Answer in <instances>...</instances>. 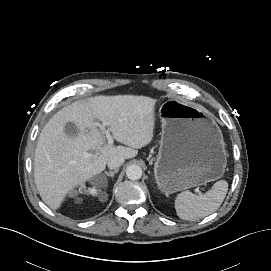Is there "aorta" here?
<instances>
[{
	"mask_svg": "<svg viewBox=\"0 0 271 271\" xmlns=\"http://www.w3.org/2000/svg\"><path fill=\"white\" fill-rule=\"evenodd\" d=\"M126 176L130 180H138L142 176V168L139 165H129L126 169Z\"/></svg>",
	"mask_w": 271,
	"mask_h": 271,
	"instance_id": "aorta-1",
	"label": "aorta"
}]
</instances>
